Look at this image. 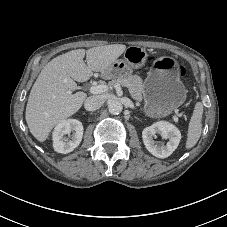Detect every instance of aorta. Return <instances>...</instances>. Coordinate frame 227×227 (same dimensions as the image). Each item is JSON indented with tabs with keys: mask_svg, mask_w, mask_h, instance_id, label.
<instances>
[{
	"mask_svg": "<svg viewBox=\"0 0 227 227\" xmlns=\"http://www.w3.org/2000/svg\"><path fill=\"white\" fill-rule=\"evenodd\" d=\"M108 109L111 114L118 115L121 113V111L123 109V105L120 101L113 100V101L109 102Z\"/></svg>",
	"mask_w": 227,
	"mask_h": 227,
	"instance_id": "762f6f07",
	"label": "aorta"
}]
</instances>
